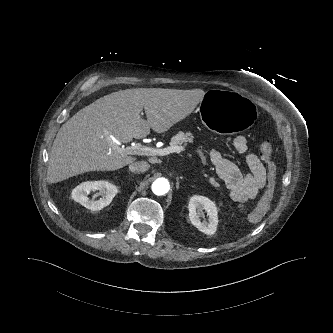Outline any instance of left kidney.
Listing matches in <instances>:
<instances>
[{
  "label": "left kidney",
  "mask_w": 333,
  "mask_h": 333,
  "mask_svg": "<svg viewBox=\"0 0 333 333\" xmlns=\"http://www.w3.org/2000/svg\"><path fill=\"white\" fill-rule=\"evenodd\" d=\"M189 218L191 223L201 232L213 235L218 225L217 208L215 204L204 196H192L189 204ZM203 210L208 215V222H201L200 217L203 216Z\"/></svg>",
  "instance_id": "1"
}]
</instances>
